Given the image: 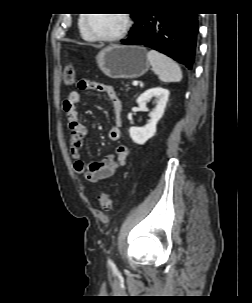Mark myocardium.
<instances>
[{
  "label": "myocardium",
  "mask_w": 252,
  "mask_h": 303,
  "mask_svg": "<svg viewBox=\"0 0 252 303\" xmlns=\"http://www.w3.org/2000/svg\"><path fill=\"white\" fill-rule=\"evenodd\" d=\"M124 17V25L123 27L116 33L109 34V35H97V34H92L88 28H87V23H88V18H84L82 21V30L83 33L85 34L86 37L92 39V40H97V41H115L127 34L129 31L131 25H132V20L130 17L129 13H123L122 14Z\"/></svg>",
  "instance_id": "myocardium-1"
}]
</instances>
